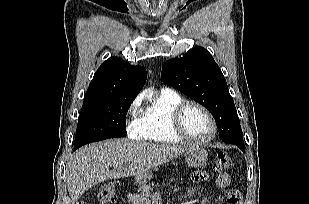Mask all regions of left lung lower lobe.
I'll return each mask as SVG.
<instances>
[{"label": "left lung lower lobe", "instance_id": "0a47b994", "mask_svg": "<svg viewBox=\"0 0 309 204\" xmlns=\"http://www.w3.org/2000/svg\"><path fill=\"white\" fill-rule=\"evenodd\" d=\"M243 152H245V145H244V141H240V142H236L235 143Z\"/></svg>", "mask_w": 309, "mask_h": 204}]
</instances>
